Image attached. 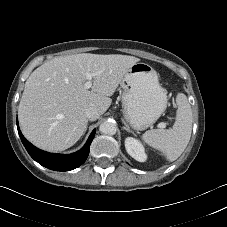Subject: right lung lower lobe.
I'll use <instances>...</instances> for the list:
<instances>
[{"label":"right lung lower lobe","instance_id":"right-lung-lower-lobe-1","mask_svg":"<svg viewBox=\"0 0 227 227\" xmlns=\"http://www.w3.org/2000/svg\"><path fill=\"white\" fill-rule=\"evenodd\" d=\"M17 128H18V133L21 138V141L25 146L29 155L40 165L55 171H69L82 165L88 157L90 144L95 135V130H93L86 144L81 150L72 154L65 155V154L49 153L38 149L37 147L32 145L29 141H27L26 138H24V136L22 135L19 129L18 121H17Z\"/></svg>","mask_w":227,"mask_h":227}]
</instances>
